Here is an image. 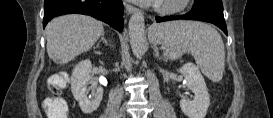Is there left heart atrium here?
Wrapping results in <instances>:
<instances>
[{"label": "left heart atrium", "instance_id": "1", "mask_svg": "<svg viewBox=\"0 0 273 118\" xmlns=\"http://www.w3.org/2000/svg\"><path fill=\"white\" fill-rule=\"evenodd\" d=\"M137 3H143V4H146V5H149V4H157L159 3L161 0H133Z\"/></svg>", "mask_w": 273, "mask_h": 118}]
</instances>
